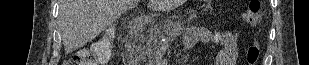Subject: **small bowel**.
Here are the masks:
<instances>
[{
  "instance_id": "c3829d8e",
  "label": "small bowel",
  "mask_w": 309,
  "mask_h": 65,
  "mask_svg": "<svg viewBox=\"0 0 309 65\" xmlns=\"http://www.w3.org/2000/svg\"><path fill=\"white\" fill-rule=\"evenodd\" d=\"M198 43H214L219 46L215 65H235L238 51L234 35L224 30L211 31L205 27L193 26L186 30L184 47L192 49Z\"/></svg>"
}]
</instances>
